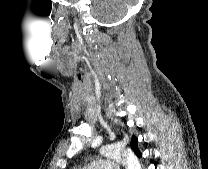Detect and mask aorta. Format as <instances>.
I'll use <instances>...</instances> for the list:
<instances>
[{"label": "aorta", "mask_w": 208, "mask_h": 169, "mask_svg": "<svg viewBox=\"0 0 208 169\" xmlns=\"http://www.w3.org/2000/svg\"><path fill=\"white\" fill-rule=\"evenodd\" d=\"M100 153L106 158L122 162L127 169H141V165L134 153L119 145H106L101 149Z\"/></svg>", "instance_id": "1"}]
</instances>
